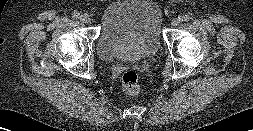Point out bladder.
I'll list each match as a JSON object with an SVG mask.
<instances>
[{"label":"bladder","mask_w":253,"mask_h":131,"mask_svg":"<svg viewBox=\"0 0 253 131\" xmlns=\"http://www.w3.org/2000/svg\"><path fill=\"white\" fill-rule=\"evenodd\" d=\"M162 21L155 0H113L102 14L97 54L103 59L154 55L162 46Z\"/></svg>","instance_id":"bladder-1"}]
</instances>
